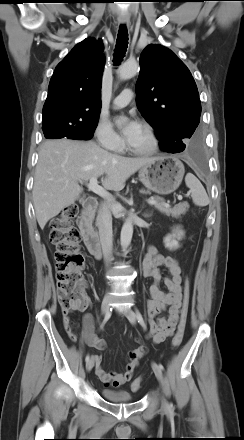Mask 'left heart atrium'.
Masks as SVG:
<instances>
[{
	"label": "left heart atrium",
	"instance_id": "1",
	"mask_svg": "<svg viewBox=\"0 0 244 440\" xmlns=\"http://www.w3.org/2000/svg\"><path fill=\"white\" fill-rule=\"evenodd\" d=\"M140 127L139 123L135 120H129L126 122L123 128V136L128 143L138 134Z\"/></svg>",
	"mask_w": 244,
	"mask_h": 440
}]
</instances>
